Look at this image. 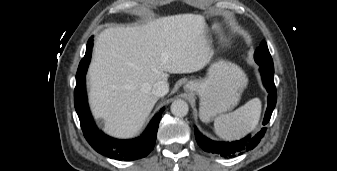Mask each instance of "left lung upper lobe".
<instances>
[{
  "label": "left lung upper lobe",
  "mask_w": 337,
  "mask_h": 171,
  "mask_svg": "<svg viewBox=\"0 0 337 171\" xmlns=\"http://www.w3.org/2000/svg\"><path fill=\"white\" fill-rule=\"evenodd\" d=\"M254 59L258 64L273 67V61L265 41H262L260 46L256 49Z\"/></svg>",
  "instance_id": "obj_1"
}]
</instances>
